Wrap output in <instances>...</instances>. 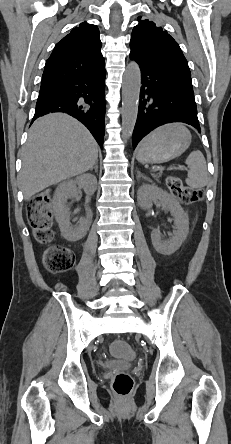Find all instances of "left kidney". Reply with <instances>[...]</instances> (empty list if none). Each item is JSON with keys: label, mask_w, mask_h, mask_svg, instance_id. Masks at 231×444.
I'll list each match as a JSON object with an SVG mask.
<instances>
[{"label": "left kidney", "mask_w": 231, "mask_h": 444, "mask_svg": "<svg viewBox=\"0 0 231 444\" xmlns=\"http://www.w3.org/2000/svg\"><path fill=\"white\" fill-rule=\"evenodd\" d=\"M137 200L141 208L150 209L154 201L159 200L165 211H170L174 218L173 235L162 240L160 233L156 230L152 231V244L157 252L163 255L174 253L186 239L189 233V219L187 213L180 206L179 202L169 193L161 188L143 184L137 192Z\"/></svg>", "instance_id": "1"}]
</instances>
